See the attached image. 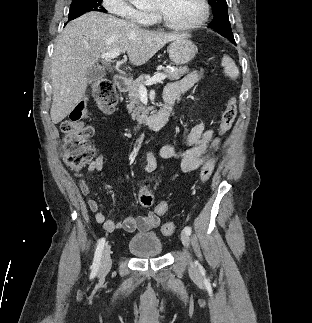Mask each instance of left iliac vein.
Listing matches in <instances>:
<instances>
[{
    "instance_id": "obj_1",
    "label": "left iliac vein",
    "mask_w": 312,
    "mask_h": 323,
    "mask_svg": "<svg viewBox=\"0 0 312 323\" xmlns=\"http://www.w3.org/2000/svg\"><path fill=\"white\" fill-rule=\"evenodd\" d=\"M181 241L186 248L189 247V236L186 232H181ZM190 264L192 265V263Z\"/></svg>"
}]
</instances>
